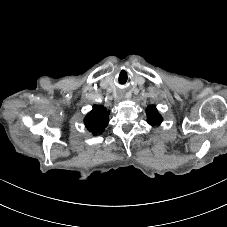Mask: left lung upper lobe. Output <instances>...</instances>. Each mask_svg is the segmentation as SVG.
<instances>
[{
	"label": "left lung upper lobe",
	"instance_id": "5c2ea615",
	"mask_svg": "<svg viewBox=\"0 0 227 227\" xmlns=\"http://www.w3.org/2000/svg\"><path fill=\"white\" fill-rule=\"evenodd\" d=\"M147 121L150 125H160L163 121V118L158 113L156 106L150 105L148 106L147 110Z\"/></svg>",
	"mask_w": 227,
	"mask_h": 227
}]
</instances>
